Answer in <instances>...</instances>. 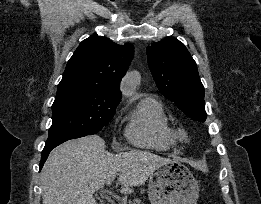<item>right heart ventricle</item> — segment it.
I'll use <instances>...</instances> for the list:
<instances>
[{"label":"right heart ventricle","mask_w":261,"mask_h":204,"mask_svg":"<svg viewBox=\"0 0 261 204\" xmlns=\"http://www.w3.org/2000/svg\"><path fill=\"white\" fill-rule=\"evenodd\" d=\"M125 136L135 147L168 150L176 143L164 105L155 98H145L127 117Z\"/></svg>","instance_id":"right-heart-ventricle-1"}]
</instances>
